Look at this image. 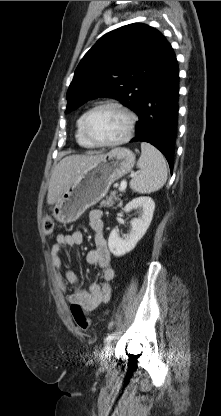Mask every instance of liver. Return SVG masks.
<instances>
[{
    "label": "liver",
    "mask_w": 221,
    "mask_h": 416,
    "mask_svg": "<svg viewBox=\"0 0 221 416\" xmlns=\"http://www.w3.org/2000/svg\"><path fill=\"white\" fill-rule=\"evenodd\" d=\"M104 155H69L64 157L53 169L48 187L47 203L53 205L69 188L76 176L98 162Z\"/></svg>",
    "instance_id": "liver-1"
}]
</instances>
